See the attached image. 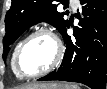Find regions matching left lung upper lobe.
Returning a JSON list of instances; mask_svg holds the SVG:
<instances>
[{"instance_id":"obj_1","label":"left lung upper lobe","mask_w":107,"mask_h":89,"mask_svg":"<svg viewBox=\"0 0 107 89\" xmlns=\"http://www.w3.org/2000/svg\"><path fill=\"white\" fill-rule=\"evenodd\" d=\"M58 0H12L11 8L6 14V34L3 39V59L10 50V45L30 26L38 22L52 24L60 33L67 27L65 13L57 11Z\"/></svg>"}]
</instances>
